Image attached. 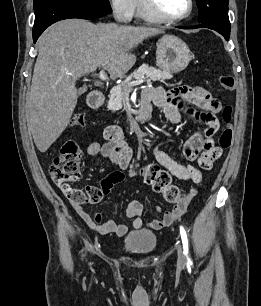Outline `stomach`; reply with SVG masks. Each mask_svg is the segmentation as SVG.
Listing matches in <instances>:
<instances>
[{"label":"stomach","mask_w":261,"mask_h":306,"mask_svg":"<svg viewBox=\"0 0 261 306\" xmlns=\"http://www.w3.org/2000/svg\"><path fill=\"white\" fill-rule=\"evenodd\" d=\"M191 60V51L184 41L174 35H164L157 43L156 64L163 71L178 73Z\"/></svg>","instance_id":"0dacf381"}]
</instances>
